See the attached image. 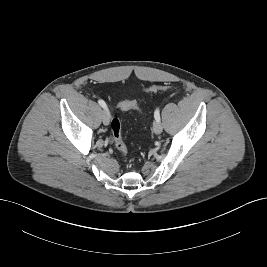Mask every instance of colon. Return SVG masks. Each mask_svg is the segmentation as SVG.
I'll return each mask as SVG.
<instances>
[{
  "label": "colon",
  "mask_w": 267,
  "mask_h": 267,
  "mask_svg": "<svg viewBox=\"0 0 267 267\" xmlns=\"http://www.w3.org/2000/svg\"><path fill=\"white\" fill-rule=\"evenodd\" d=\"M166 86H150L147 88L148 91H157L159 89H166ZM117 107L121 110H135L141 111L137 103L133 101H121ZM111 133L116 148L123 154L127 155L128 148L122 139V124L118 118H113L111 122Z\"/></svg>",
  "instance_id": "5ec220e1"
}]
</instances>
